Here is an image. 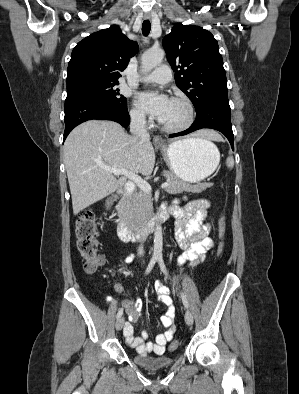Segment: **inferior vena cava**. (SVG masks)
<instances>
[{"label":"inferior vena cava","mask_w":299,"mask_h":394,"mask_svg":"<svg viewBox=\"0 0 299 394\" xmlns=\"http://www.w3.org/2000/svg\"><path fill=\"white\" fill-rule=\"evenodd\" d=\"M130 132L142 142L150 141V135L146 128L145 116L141 114H135L131 117ZM138 254L142 256L144 254L143 245L138 247Z\"/></svg>","instance_id":"obj_1"}]
</instances>
